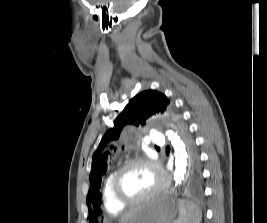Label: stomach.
Returning <instances> with one entry per match:
<instances>
[{
  "mask_svg": "<svg viewBox=\"0 0 267 223\" xmlns=\"http://www.w3.org/2000/svg\"><path fill=\"white\" fill-rule=\"evenodd\" d=\"M177 211L176 201L171 196L163 194L134 208L125 223H175Z\"/></svg>",
  "mask_w": 267,
  "mask_h": 223,
  "instance_id": "1",
  "label": "stomach"
}]
</instances>
